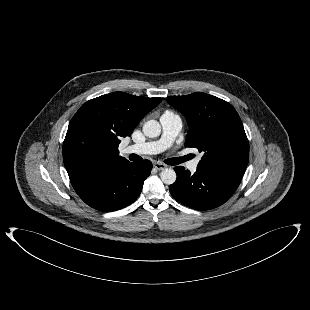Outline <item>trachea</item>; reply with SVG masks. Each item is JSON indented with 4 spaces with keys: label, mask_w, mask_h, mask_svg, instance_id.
I'll use <instances>...</instances> for the list:
<instances>
[{
    "label": "trachea",
    "mask_w": 310,
    "mask_h": 310,
    "mask_svg": "<svg viewBox=\"0 0 310 310\" xmlns=\"http://www.w3.org/2000/svg\"><path fill=\"white\" fill-rule=\"evenodd\" d=\"M141 159L142 158L140 156H138V155H133L132 156V160H134V161H138V160H141ZM186 160H187V157L170 158V159H167L165 161V163L168 164V165H177V164L182 163V162H184Z\"/></svg>",
    "instance_id": "trachea-1"
}]
</instances>
